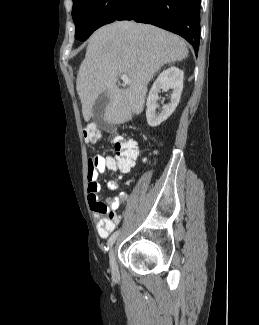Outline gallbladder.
Here are the masks:
<instances>
[{"instance_id": "gallbladder-1", "label": "gallbladder", "mask_w": 259, "mask_h": 325, "mask_svg": "<svg viewBox=\"0 0 259 325\" xmlns=\"http://www.w3.org/2000/svg\"><path fill=\"white\" fill-rule=\"evenodd\" d=\"M109 102V98L106 94H102L98 97V99L95 101L93 108H92V116L93 119L98 122L104 130H111L112 126L104 122L103 115L106 109V106Z\"/></svg>"}]
</instances>
